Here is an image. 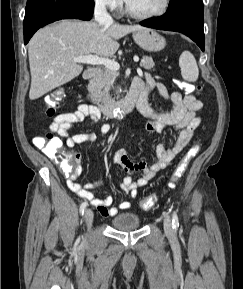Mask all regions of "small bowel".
Listing matches in <instances>:
<instances>
[{"label":"small bowel","mask_w":243,"mask_h":289,"mask_svg":"<svg viewBox=\"0 0 243 289\" xmlns=\"http://www.w3.org/2000/svg\"><path fill=\"white\" fill-rule=\"evenodd\" d=\"M132 87L143 88L147 96L156 87L161 97L169 99L173 103V108L170 111L158 112L148 104L146 98L141 113L149 118L146 126L147 131L153 134H162L169 125L175 129V142L172 146L168 147L163 143L156 146L157 160L155 162H134L123 149L115 152L113 156L114 163L128 173L123 178L121 188L124 193L135 198L138 194V189L147 185L159 171L169 167L174 158L190 143L196 128L200 124L198 113L202 110L203 104L192 94L183 95L180 92L169 94L166 87L161 83L155 82L150 74H146L144 79H135ZM100 119L101 114L95 107L88 104H80L73 112L57 115L49 127V133L57 138H65L66 146L73 149L81 143L94 142L97 136L92 132L70 135L69 131L78 124L84 122L96 123ZM110 130L111 126L108 123H103L99 130L100 136L107 135ZM71 154L75 161L74 170L67 179V186L71 191L82 199L89 201L105 217L115 216L119 209L126 210L131 207L129 201L121 202L118 207H112L113 197L111 195L104 199L97 198L92 190L103 184L102 178L91 183H78L76 180L82 172V158L80 153L76 151H72ZM135 173L140 174V177L136 180L132 177Z\"/></svg>","instance_id":"c3829d8e"}]
</instances>
